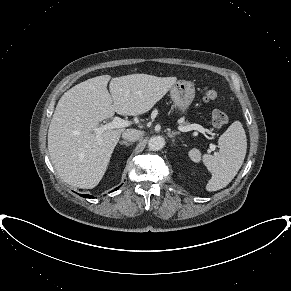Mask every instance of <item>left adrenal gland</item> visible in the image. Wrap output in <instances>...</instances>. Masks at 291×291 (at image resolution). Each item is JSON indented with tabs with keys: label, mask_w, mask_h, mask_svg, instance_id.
<instances>
[{
	"label": "left adrenal gland",
	"mask_w": 291,
	"mask_h": 291,
	"mask_svg": "<svg viewBox=\"0 0 291 291\" xmlns=\"http://www.w3.org/2000/svg\"><path fill=\"white\" fill-rule=\"evenodd\" d=\"M180 133L179 132H174V131H170L168 132V137L170 138H173L175 137L176 135H179Z\"/></svg>",
	"instance_id": "a2214340"
}]
</instances>
